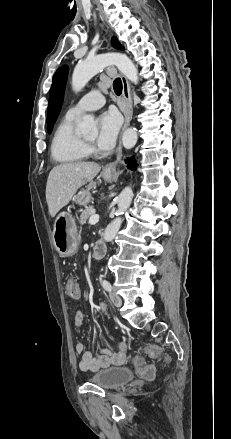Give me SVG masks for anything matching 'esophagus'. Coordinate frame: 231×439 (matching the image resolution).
I'll use <instances>...</instances> for the list:
<instances>
[{"mask_svg": "<svg viewBox=\"0 0 231 439\" xmlns=\"http://www.w3.org/2000/svg\"><path fill=\"white\" fill-rule=\"evenodd\" d=\"M121 81H122V93L123 98L125 100V110H124V116H125V122L122 131H124L130 124V121L132 119L133 115V108H132V96H131V90L130 85L127 80V78L124 75H121ZM122 159V146L121 141H119L117 151H116V159L107 164L105 166L106 172H115L117 170L118 164L121 162Z\"/></svg>", "mask_w": 231, "mask_h": 439, "instance_id": "34e87169", "label": "esophagus"}]
</instances>
